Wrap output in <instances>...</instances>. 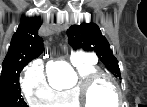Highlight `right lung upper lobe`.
<instances>
[{
  "mask_svg": "<svg viewBox=\"0 0 147 107\" xmlns=\"http://www.w3.org/2000/svg\"><path fill=\"white\" fill-rule=\"evenodd\" d=\"M41 26L39 18H22L17 31L14 33L8 54L2 64L4 76L11 72H18L22 64L37 58L43 51V40L37 32Z\"/></svg>",
  "mask_w": 147,
  "mask_h": 107,
  "instance_id": "right-lung-upper-lobe-1",
  "label": "right lung upper lobe"
}]
</instances>
